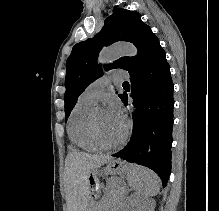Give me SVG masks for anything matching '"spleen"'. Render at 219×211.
<instances>
[{
    "instance_id": "1",
    "label": "spleen",
    "mask_w": 219,
    "mask_h": 211,
    "mask_svg": "<svg viewBox=\"0 0 219 211\" xmlns=\"http://www.w3.org/2000/svg\"><path fill=\"white\" fill-rule=\"evenodd\" d=\"M128 179L131 187L142 193L144 197L157 195L158 191H160V177L152 169H148V167H139V165L134 167L131 173H129Z\"/></svg>"
}]
</instances>
